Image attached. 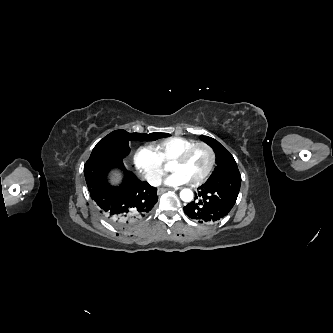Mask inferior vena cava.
Listing matches in <instances>:
<instances>
[{
	"label": "inferior vena cava",
	"mask_w": 333,
	"mask_h": 333,
	"mask_svg": "<svg viewBox=\"0 0 333 333\" xmlns=\"http://www.w3.org/2000/svg\"><path fill=\"white\" fill-rule=\"evenodd\" d=\"M147 180L151 186L158 187L162 183V178L161 175L154 173V174H149L147 177Z\"/></svg>",
	"instance_id": "inferior-vena-cava-1"
}]
</instances>
